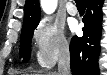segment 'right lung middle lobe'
Wrapping results in <instances>:
<instances>
[{
	"label": "right lung middle lobe",
	"mask_w": 107,
	"mask_h": 75,
	"mask_svg": "<svg viewBox=\"0 0 107 75\" xmlns=\"http://www.w3.org/2000/svg\"><path fill=\"white\" fill-rule=\"evenodd\" d=\"M38 23H26L23 24L21 32V49L20 57H23V62H27L30 58L31 53V39L33 36L34 29L37 27Z\"/></svg>",
	"instance_id": "right-lung-middle-lobe-1"
}]
</instances>
